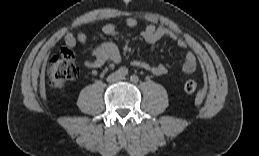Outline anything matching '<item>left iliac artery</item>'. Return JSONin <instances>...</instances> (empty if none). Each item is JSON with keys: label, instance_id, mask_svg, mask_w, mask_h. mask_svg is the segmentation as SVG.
Here are the masks:
<instances>
[{"label": "left iliac artery", "instance_id": "obj_1", "mask_svg": "<svg viewBox=\"0 0 259 156\" xmlns=\"http://www.w3.org/2000/svg\"><path fill=\"white\" fill-rule=\"evenodd\" d=\"M130 80L134 83H137L139 81V78L137 75H131L130 76Z\"/></svg>", "mask_w": 259, "mask_h": 156}]
</instances>
